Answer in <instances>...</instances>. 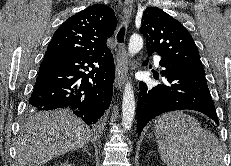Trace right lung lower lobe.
I'll list each match as a JSON object with an SVG mask.
<instances>
[{"mask_svg": "<svg viewBox=\"0 0 231 166\" xmlns=\"http://www.w3.org/2000/svg\"><path fill=\"white\" fill-rule=\"evenodd\" d=\"M114 76L110 50L91 56L46 52L28 107L38 111L65 108L87 124L96 123L111 103Z\"/></svg>", "mask_w": 231, "mask_h": 166, "instance_id": "98d812e1", "label": "right lung lower lobe"}]
</instances>
